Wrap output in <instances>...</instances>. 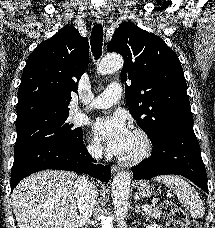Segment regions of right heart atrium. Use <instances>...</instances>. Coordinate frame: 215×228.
<instances>
[{
	"label": "right heart atrium",
	"instance_id": "obj_1",
	"mask_svg": "<svg viewBox=\"0 0 215 228\" xmlns=\"http://www.w3.org/2000/svg\"><path fill=\"white\" fill-rule=\"evenodd\" d=\"M86 151L91 158L98 160L102 157L104 153V148L97 141L88 136L86 143Z\"/></svg>",
	"mask_w": 215,
	"mask_h": 228
}]
</instances>
